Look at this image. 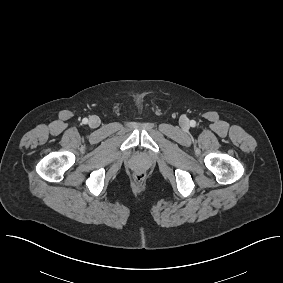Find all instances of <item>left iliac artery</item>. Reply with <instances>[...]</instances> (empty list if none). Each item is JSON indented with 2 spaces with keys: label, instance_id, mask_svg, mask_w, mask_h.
Wrapping results in <instances>:
<instances>
[{
  "label": "left iliac artery",
  "instance_id": "left-iliac-artery-1",
  "mask_svg": "<svg viewBox=\"0 0 283 283\" xmlns=\"http://www.w3.org/2000/svg\"><path fill=\"white\" fill-rule=\"evenodd\" d=\"M190 125H191L192 127H195V126H196V122H195L194 120H191Z\"/></svg>",
  "mask_w": 283,
  "mask_h": 283
}]
</instances>
